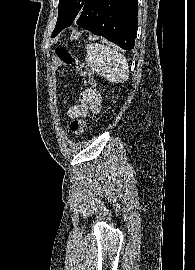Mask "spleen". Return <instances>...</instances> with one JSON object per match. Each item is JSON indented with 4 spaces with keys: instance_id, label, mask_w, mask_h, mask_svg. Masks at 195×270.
Wrapping results in <instances>:
<instances>
[{
    "instance_id": "1",
    "label": "spleen",
    "mask_w": 195,
    "mask_h": 270,
    "mask_svg": "<svg viewBox=\"0 0 195 270\" xmlns=\"http://www.w3.org/2000/svg\"><path fill=\"white\" fill-rule=\"evenodd\" d=\"M85 61L91 71L112 83H122L129 78V65L124 55L104 44H88Z\"/></svg>"
}]
</instances>
